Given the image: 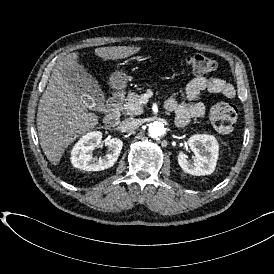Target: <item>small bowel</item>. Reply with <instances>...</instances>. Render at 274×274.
Instances as JSON below:
<instances>
[{
    "label": "small bowel",
    "mask_w": 274,
    "mask_h": 274,
    "mask_svg": "<svg viewBox=\"0 0 274 274\" xmlns=\"http://www.w3.org/2000/svg\"><path fill=\"white\" fill-rule=\"evenodd\" d=\"M204 91L220 94L227 99H232L236 95L235 87L223 79L201 76L193 78L185 89L186 97L192 101L191 104H181L173 98H169L165 103L166 109L174 114L178 126H185L192 119H199L205 115V105L196 101Z\"/></svg>",
    "instance_id": "obj_1"
}]
</instances>
